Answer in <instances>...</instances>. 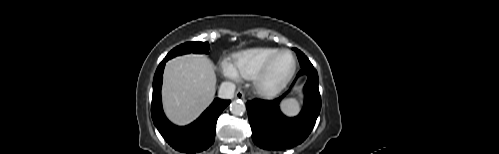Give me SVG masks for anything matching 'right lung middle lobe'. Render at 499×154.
<instances>
[{"instance_id":"1","label":"right lung middle lobe","mask_w":499,"mask_h":154,"mask_svg":"<svg viewBox=\"0 0 499 154\" xmlns=\"http://www.w3.org/2000/svg\"><path fill=\"white\" fill-rule=\"evenodd\" d=\"M209 44L207 42H187L171 50L164 58L169 60L175 56L187 53H208Z\"/></svg>"}]
</instances>
